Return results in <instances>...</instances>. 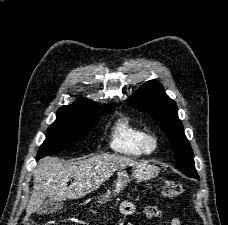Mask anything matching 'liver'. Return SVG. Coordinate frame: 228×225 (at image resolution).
I'll list each match as a JSON object with an SVG mask.
<instances>
[{"label": "liver", "instance_id": "6515ba94", "mask_svg": "<svg viewBox=\"0 0 228 225\" xmlns=\"http://www.w3.org/2000/svg\"><path fill=\"white\" fill-rule=\"evenodd\" d=\"M129 165L137 163L127 157L106 153L77 163H65L57 157H45L34 173L33 193L23 223L29 221V217L38 211L47 197L54 201L81 199L109 181L115 171L126 169ZM69 179L74 181L68 187Z\"/></svg>", "mask_w": 228, "mask_h": 225}]
</instances>
